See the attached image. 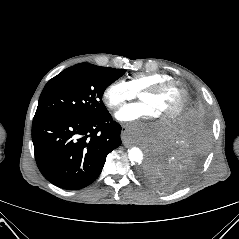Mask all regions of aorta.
I'll use <instances>...</instances> for the list:
<instances>
[{
    "label": "aorta",
    "mask_w": 239,
    "mask_h": 239,
    "mask_svg": "<svg viewBox=\"0 0 239 239\" xmlns=\"http://www.w3.org/2000/svg\"><path fill=\"white\" fill-rule=\"evenodd\" d=\"M128 158L131 162L142 163L143 152L138 147H132L128 150Z\"/></svg>",
    "instance_id": "762f6f07"
}]
</instances>
